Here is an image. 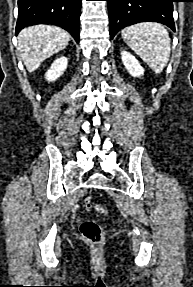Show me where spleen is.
<instances>
[{
	"mask_svg": "<svg viewBox=\"0 0 193 287\" xmlns=\"http://www.w3.org/2000/svg\"><path fill=\"white\" fill-rule=\"evenodd\" d=\"M123 41L152 69L159 74L170 57V37L159 23L144 22L126 27L121 32Z\"/></svg>",
	"mask_w": 193,
	"mask_h": 287,
	"instance_id": "obj_1",
	"label": "spleen"
}]
</instances>
